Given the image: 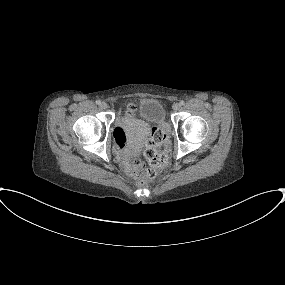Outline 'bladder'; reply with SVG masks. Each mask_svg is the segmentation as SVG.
I'll return each instance as SVG.
<instances>
[{"label": "bladder", "instance_id": "31cf9c89", "mask_svg": "<svg viewBox=\"0 0 285 285\" xmlns=\"http://www.w3.org/2000/svg\"><path fill=\"white\" fill-rule=\"evenodd\" d=\"M165 122V109L156 99H143L139 102L137 116L117 117L115 123L120 126L123 137L131 149L140 147L149 135L151 124Z\"/></svg>", "mask_w": 285, "mask_h": 285}]
</instances>
